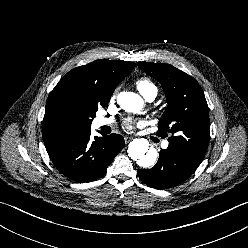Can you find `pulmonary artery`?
Returning <instances> with one entry per match:
<instances>
[{"label": "pulmonary artery", "instance_id": "pulmonary-artery-1", "mask_svg": "<svg viewBox=\"0 0 248 248\" xmlns=\"http://www.w3.org/2000/svg\"><path fill=\"white\" fill-rule=\"evenodd\" d=\"M156 95H157V90H153V91H151L150 93H148V94H147L146 96H144V97H145V99H146L148 102H152V101L155 99ZM112 123H113V120L110 119V118H103V117H100V118H97V119H96V125H97L98 127L105 126V125H110V124H112ZM168 145H169V142H168V141H164V142L162 143V147H163L164 149H166V148L168 147Z\"/></svg>", "mask_w": 248, "mask_h": 248}]
</instances>
